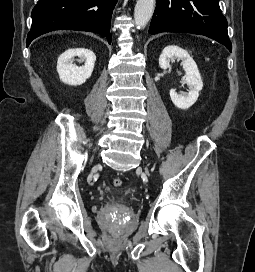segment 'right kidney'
Wrapping results in <instances>:
<instances>
[{
    "label": "right kidney",
    "mask_w": 255,
    "mask_h": 272,
    "mask_svg": "<svg viewBox=\"0 0 255 272\" xmlns=\"http://www.w3.org/2000/svg\"><path fill=\"white\" fill-rule=\"evenodd\" d=\"M74 57L79 58V62H84L83 66L73 64ZM96 61L95 54L85 48H71L62 53L57 61V72L62 82L69 85H81L91 77Z\"/></svg>",
    "instance_id": "1"
}]
</instances>
